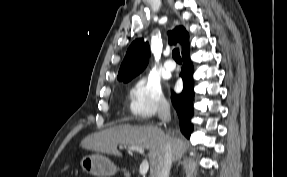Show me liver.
Returning a JSON list of instances; mask_svg holds the SVG:
<instances>
[{
  "label": "liver",
  "instance_id": "obj_1",
  "mask_svg": "<svg viewBox=\"0 0 287 177\" xmlns=\"http://www.w3.org/2000/svg\"><path fill=\"white\" fill-rule=\"evenodd\" d=\"M167 142L171 144L172 159L174 161L181 159L186 152L185 143L176 137H170L158 127L149 125L122 124L115 126L85 137L80 145L87 150L117 157H122V153L117 149L118 145L139 146L147 149L150 161V177H153Z\"/></svg>",
  "mask_w": 287,
  "mask_h": 177
}]
</instances>
